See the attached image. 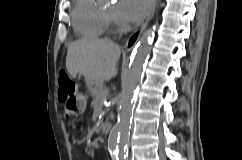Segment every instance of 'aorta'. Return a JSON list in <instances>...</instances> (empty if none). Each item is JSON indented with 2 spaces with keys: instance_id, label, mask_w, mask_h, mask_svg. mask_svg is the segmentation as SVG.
<instances>
[{
  "instance_id": "aorta-1",
  "label": "aorta",
  "mask_w": 242,
  "mask_h": 160,
  "mask_svg": "<svg viewBox=\"0 0 242 160\" xmlns=\"http://www.w3.org/2000/svg\"><path fill=\"white\" fill-rule=\"evenodd\" d=\"M152 35L153 31L151 29L142 34L133 52L130 68L122 78L120 112L117 123L112 128L108 138V149L115 153L116 160H125L127 157L133 96L142 77V70L149 53Z\"/></svg>"
}]
</instances>
